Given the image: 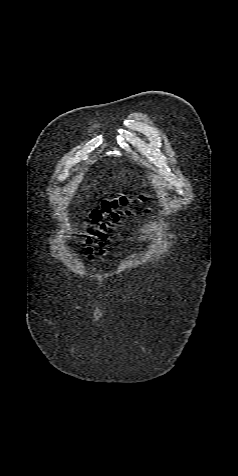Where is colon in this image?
Wrapping results in <instances>:
<instances>
[{
	"instance_id": "1",
	"label": "colon",
	"mask_w": 238,
	"mask_h": 476,
	"mask_svg": "<svg viewBox=\"0 0 238 476\" xmlns=\"http://www.w3.org/2000/svg\"><path fill=\"white\" fill-rule=\"evenodd\" d=\"M145 195L140 194L134 198L122 195L103 200L99 206L90 213L91 233L87 238V251L90 255H103L109 228L120 218L130 214V206L143 202Z\"/></svg>"
}]
</instances>
